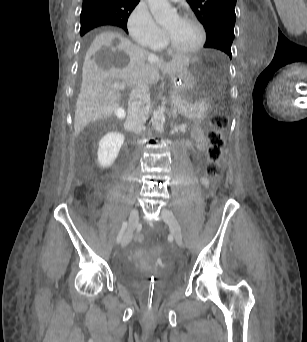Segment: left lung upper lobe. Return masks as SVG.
I'll use <instances>...</instances> for the list:
<instances>
[{
  "label": "left lung upper lobe",
  "instance_id": "5c2ea615",
  "mask_svg": "<svg viewBox=\"0 0 307 342\" xmlns=\"http://www.w3.org/2000/svg\"><path fill=\"white\" fill-rule=\"evenodd\" d=\"M206 30L204 47L215 48L232 58L236 0H187Z\"/></svg>",
  "mask_w": 307,
  "mask_h": 342
}]
</instances>
